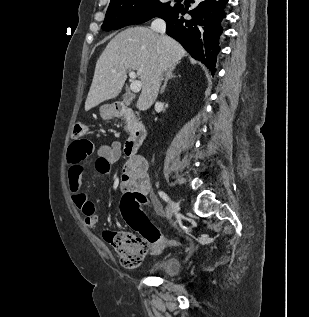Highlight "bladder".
<instances>
[{
    "instance_id": "1",
    "label": "bladder",
    "mask_w": 309,
    "mask_h": 317,
    "mask_svg": "<svg viewBox=\"0 0 309 317\" xmlns=\"http://www.w3.org/2000/svg\"><path fill=\"white\" fill-rule=\"evenodd\" d=\"M181 263L177 258L168 257L155 262L149 269L151 273L175 276L180 272Z\"/></svg>"
}]
</instances>
